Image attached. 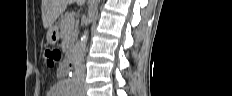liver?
Returning a JSON list of instances; mask_svg holds the SVG:
<instances>
[{
  "mask_svg": "<svg viewBox=\"0 0 232 96\" xmlns=\"http://www.w3.org/2000/svg\"><path fill=\"white\" fill-rule=\"evenodd\" d=\"M72 0H42V22L45 29L53 27L54 22L65 11L67 5ZM83 0H78V3H82Z\"/></svg>",
  "mask_w": 232,
  "mask_h": 96,
  "instance_id": "liver-1",
  "label": "liver"
}]
</instances>
